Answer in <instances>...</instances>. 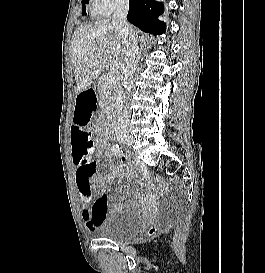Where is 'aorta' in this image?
I'll list each match as a JSON object with an SVG mask.
<instances>
[{
	"label": "aorta",
	"instance_id": "762f6f07",
	"mask_svg": "<svg viewBox=\"0 0 265 273\" xmlns=\"http://www.w3.org/2000/svg\"><path fill=\"white\" fill-rule=\"evenodd\" d=\"M124 91L119 90L115 95V113L120 116L124 110Z\"/></svg>",
	"mask_w": 265,
	"mask_h": 273
}]
</instances>
